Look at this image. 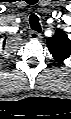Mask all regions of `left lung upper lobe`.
Masks as SVG:
<instances>
[{"label": "left lung upper lobe", "instance_id": "5c2ea615", "mask_svg": "<svg viewBox=\"0 0 71 119\" xmlns=\"http://www.w3.org/2000/svg\"><path fill=\"white\" fill-rule=\"evenodd\" d=\"M47 47L58 63L71 56V40L61 29H57L55 34L47 39Z\"/></svg>", "mask_w": 71, "mask_h": 119}]
</instances>
